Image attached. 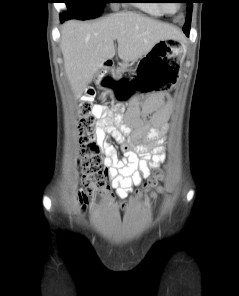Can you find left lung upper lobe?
<instances>
[{"mask_svg": "<svg viewBox=\"0 0 239 296\" xmlns=\"http://www.w3.org/2000/svg\"><path fill=\"white\" fill-rule=\"evenodd\" d=\"M187 16H186V22L183 28L190 29V24H191V15H192V0H187Z\"/></svg>", "mask_w": 239, "mask_h": 296, "instance_id": "left-lung-upper-lobe-1", "label": "left lung upper lobe"}]
</instances>
